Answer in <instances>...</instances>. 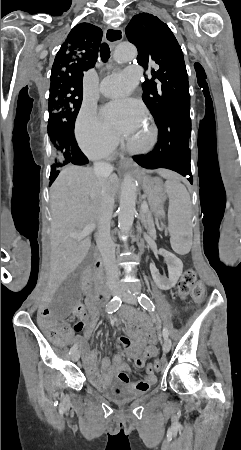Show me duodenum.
Returning a JSON list of instances; mask_svg holds the SVG:
<instances>
[{
    "label": "duodenum",
    "mask_w": 241,
    "mask_h": 450,
    "mask_svg": "<svg viewBox=\"0 0 241 450\" xmlns=\"http://www.w3.org/2000/svg\"><path fill=\"white\" fill-rule=\"evenodd\" d=\"M95 270L98 271L101 267V261L97 260L94 264ZM85 282L88 288L92 291L94 298L98 302H102L107 297V290L100 282L97 272L86 271L84 274Z\"/></svg>",
    "instance_id": "410a0bca"
}]
</instances>
